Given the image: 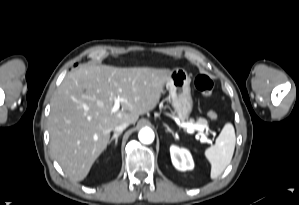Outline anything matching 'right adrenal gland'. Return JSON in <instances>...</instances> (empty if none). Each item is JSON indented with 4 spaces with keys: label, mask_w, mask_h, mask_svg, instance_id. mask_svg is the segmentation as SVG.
Segmentation results:
<instances>
[{
    "label": "right adrenal gland",
    "mask_w": 299,
    "mask_h": 205,
    "mask_svg": "<svg viewBox=\"0 0 299 205\" xmlns=\"http://www.w3.org/2000/svg\"><path fill=\"white\" fill-rule=\"evenodd\" d=\"M122 132H117V133H114V135L112 136V138L110 139L109 141V144L115 140V146L117 145L118 143V137L121 135Z\"/></svg>",
    "instance_id": "right-adrenal-gland-1"
}]
</instances>
